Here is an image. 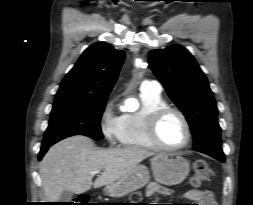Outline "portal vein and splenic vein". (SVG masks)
I'll return each instance as SVG.
<instances>
[{
  "label": "portal vein and splenic vein",
  "instance_id": "1",
  "mask_svg": "<svg viewBox=\"0 0 253 205\" xmlns=\"http://www.w3.org/2000/svg\"><path fill=\"white\" fill-rule=\"evenodd\" d=\"M99 172H100V170H95V171L92 172V174H97Z\"/></svg>",
  "mask_w": 253,
  "mask_h": 205
}]
</instances>
